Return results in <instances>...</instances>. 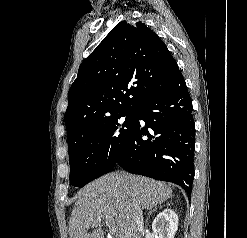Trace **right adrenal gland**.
Instances as JSON below:
<instances>
[{"mask_svg":"<svg viewBox=\"0 0 247 238\" xmlns=\"http://www.w3.org/2000/svg\"><path fill=\"white\" fill-rule=\"evenodd\" d=\"M163 206H160L159 208H162ZM158 209V207H155L154 209L150 210L149 213H148V216L146 218V222L145 223H148V220L150 218V216L152 215L153 212H155L156 210Z\"/></svg>","mask_w":247,"mask_h":238,"instance_id":"2a0ac1e0","label":"right adrenal gland"}]
</instances>
